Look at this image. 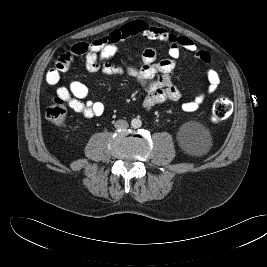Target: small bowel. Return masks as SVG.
<instances>
[{
	"mask_svg": "<svg viewBox=\"0 0 267 267\" xmlns=\"http://www.w3.org/2000/svg\"><path fill=\"white\" fill-rule=\"evenodd\" d=\"M136 36L165 43L169 57L157 61L156 48L149 47L142 52L137 65L119 66L112 63L111 59L119 46ZM183 50L194 53L196 58L206 65L211 62L209 53L199 50L192 39L186 36H175L164 28L152 26L142 20L130 21L90 43L79 42L72 45L58 57L55 65L47 71L45 78L49 85L57 86L61 73L71 67L76 56H83L85 67L91 73L128 75L135 78L147 92L142 105L150 110L165 102L181 100L182 93L173 82V73ZM206 76L205 90L182 104L184 112L198 110L207 97L217 91L220 84L218 72L214 68H208ZM56 94L58 98L66 101L73 111L86 118L100 116L105 111V105L102 102L89 98L88 87L80 81H72L67 87L58 86Z\"/></svg>",
	"mask_w": 267,
	"mask_h": 267,
	"instance_id": "1",
	"label": "small bowel"
}]
</instances>
